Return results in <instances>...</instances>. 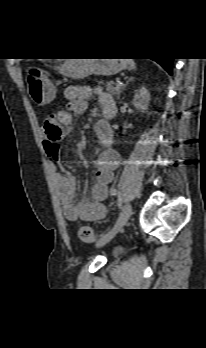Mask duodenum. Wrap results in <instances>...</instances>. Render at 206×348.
<instances>
[{
  "label": "duodenum",
  "mask_w": 206,
  "mask_h": 348,
  "mask_svg": "<svg viewBox=\"0 0 206 348\" xmlns=\"http://www.w3.org/2000/svg\"><path fill=\"white\" fill-rule=\"evenodd\" d=\"M115 110H116V106L104 108V116H105V118L107 120L111 119L115 115ZM99 135H100V137L103 140H109L110 139V135H109V133L105 129H102L100 131Z\"/></svg>",
  "instance_id": "410a0bca"
}]
</instances>
